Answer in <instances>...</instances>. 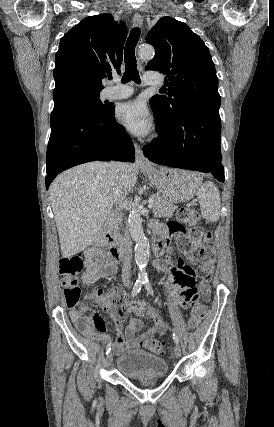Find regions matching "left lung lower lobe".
I'll list each match as a JSON object with an SVG mask.
<instances>
[{"mask_svg": "<svg viewBox=\"0 0 274 427\" xmlns=\"http://www.w3.org/2000/svg\"><path fill=\"white\" fill-rule=\"evenodd\" d=\"M151 108L160 136L143 148L144 155L157 164L211 172L224 182L219 114L206 109H190L177 115L170 123L164 122L163 114L157 108L152 105Z\"/></svg>", "mask_w": 274, "mask_h": 427, "instance_id": "1", "label": "left lung lower lobe"}]
</instances>
